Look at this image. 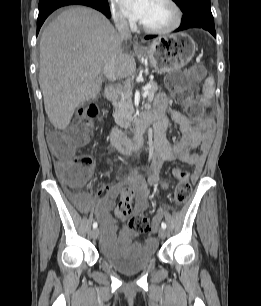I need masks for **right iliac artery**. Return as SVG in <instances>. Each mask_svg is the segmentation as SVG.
<instances>
[{
  "mask_svg": "<svg viewBox=\"0 0 261 306\" xmlns=\"http://www.w3.org/2000/svg\"><path fill=\"white\" fill-rule=\"evenodd\" d=\"M97 226H98L97 222H94L93 223V228L95 229V228H97Z\"/></svg>",
  "mask_w": 261,
  "mask_h": 306,
  "instance_id": "right-iliac-artery-1",
  "label": "right iliac artery"
}]
</instances>
